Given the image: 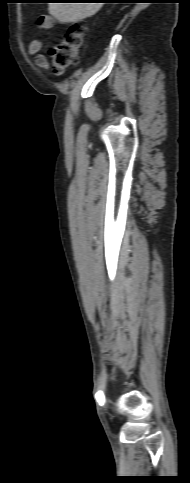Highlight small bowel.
I'll use <instances>...</instances> for the list:
<instances>
[{"label": "small bowel", "mask_w": 190, "mask_h": 483, "mask_svg": "<svg viewBox=\"0 0 190 483\" xmlns=\"http://www.w3.org/2000/svg\"><path fill=\"white\" fill-rule=\"evenodd\" d=\"M37 25L43 29H51L55 26V21L50 15L42 14L37 18ZM42 42L38 37L33 38L28 46V53L35 56L36 64L43 69L48 67L47 56L40 53Z\"/></svg>", "instance_id": "obj_1"}]
</instances>
